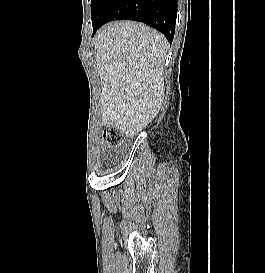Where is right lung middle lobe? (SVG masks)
Listing matches in <instances>:
<instances>
[{
  "label": "right lung middle lobe",
  "mask_w": 265,
  "mask_h": 273,
  "mask_svg": "<svg viewBox=\"0 0 265 273\" xmlns=\"http://www.w3.org/2000/svg\"><path fill=\"white\" fill-rule=\"evenodd\" d=\"M113 0H91V19L93 28L103 20Z\"/></svg>",
  "instance_id": "right-lung-middle-lobe-1"
}]
</instances>
